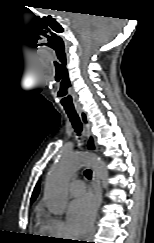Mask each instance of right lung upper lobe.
<instances>
[{
  "label": "right lung upper lobe",
  "mask_w": 154,
  "mask_h": 243,
  "mask_svg": "<svg viewBox=\"0 0 154 243\" xmlns=\"http://www.w3.org/2000/svg\"><path fill=\"white\" fill-rule=\"evenodd\" d=\"M38 192H39V183L36 185V187L34 188V191L32 193V198H31V202H33L37 195H38Z\"/></svg>",
  "instance_id": "1"
}]
</instances>
